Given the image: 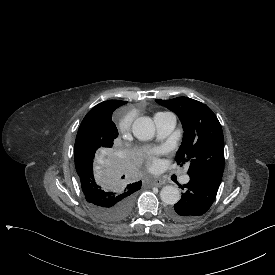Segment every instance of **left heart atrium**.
<instances>
[{
  "label": "left heart atrium",
  "instance_id": "39dd6f15",
  "mask_svg": "<svg viewBox=\"0 0 275 275\" xmlns=\"http://www.w3.org/2000/svg\"><path fill=\"white\" fill-rule=\"evenodd\" d=\"M160 152V149H146L140 155L141 161H146L149 165L156 163L155 156Z\"/></svg>",
  "mask_w": 275,
  "mask_h": 275
}]
</instances>
